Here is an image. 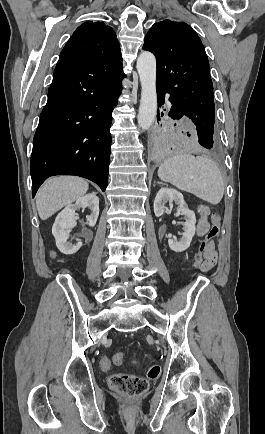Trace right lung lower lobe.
Wrapping results in <instances>:
<instances>
[{
    "mask_svg": "<svg viewBox=\"0 0 265 434\" xmlns=\"http://www.w3.org/2000/svg\"><path fill=\"white\" fill-rule=\"evenodd\" d=\"M122 56L60 58L33 139L32 196L52 175H77L105 191L112 111L121 92Z\"/></svg>",
    "mask_w": 265,
    "mask_h": 434,
    "instance_id": "1",
    "label": "right lung lower lobe"
}]
</instances>
